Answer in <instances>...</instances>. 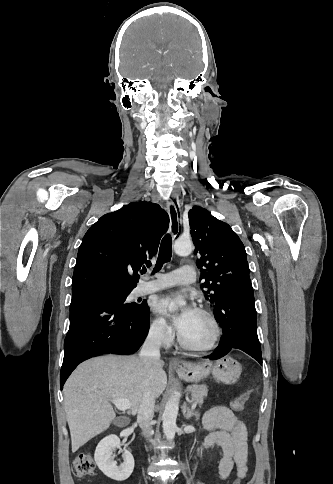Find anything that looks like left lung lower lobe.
I'll return each instance as SVG.
<instances>
[{
  "instance_id": "1",
  "label": "left lung lower lobe",
  "mask_w": 333,
  "mask_h": 484,
  "mask_svg": "<svg viewBox=\"0 0 333 484\" xmlns=\"http://www.w3.org/2000/svg\"><path fill=\"white\" fill-rule=\"evenodd\" d=\"M233 302H237L236 305ZM214 315L223 328V337L219 346L206 358L217 360L235 348L246 352L262 365L257 313L249 275L233 279L223 286Z\"/></svg>"
}]
</instances>
